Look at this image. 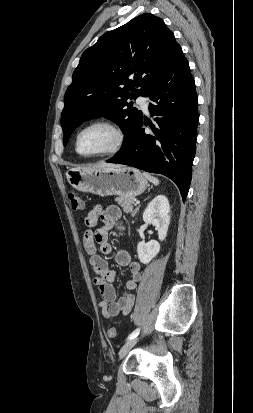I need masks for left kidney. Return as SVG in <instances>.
I'll return each mask as SVG.
<instances>
[{"instance_id":"obj_1","label":"left kidney","mask_w":253,"mask_h":413,"mask_svg":"<svg viewBox=\"0 0 253 413\" xmlns=\"http://www.w3.org/2000/svg\"><path fill=\"white\" fill-rule=\"evenodd\" d=\"M170 205L164 195L156 196L143 212V220L146 224H152L158 231L160 241L166 238L170 223ZM160 251V243L156 240L139 242L137 254L141 263L148 264Z\"/></svg>"}]
</instances>
